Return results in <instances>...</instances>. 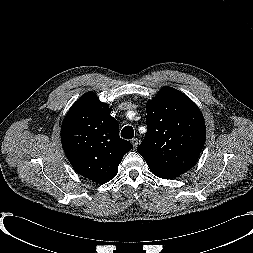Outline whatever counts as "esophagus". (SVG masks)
<instances>
[{
    "label": "esophagus",
    "mask_w": 253,
    "mask_h": 253,
    "mask_svg": "<svg viewBox=\"0 0 253 253\" xmlns=\"http://www.w3.org/2000/svg\"><path fill=\"white\" fill-rule=\"evenodd\" d=\"M131 143H132V145H133V147H134V149L138 146V143H139V140H138V138H133L132 140H131Z\"/></svg>",
    "instance_id": "34e87169"
}]
</instances>
